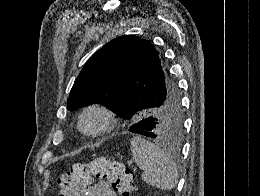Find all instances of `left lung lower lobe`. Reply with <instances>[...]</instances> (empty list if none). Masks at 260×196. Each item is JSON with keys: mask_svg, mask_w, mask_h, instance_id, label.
I'll return each mask as SVG.
<instances>
[{"mask_svg": "<svg viewBox=\"0 0 260 196\" xmlns=\"http://www.w3.org/2000/svg\"><path fill=\"white\" fill-rule=\"evenodd\" d=\"M132 113L133 111L123 112L121 116L124 119H127L132 115ZM117 114L119 115V113ZM154 129H155L154 120L147 118L131 125L129 131L140 135H144L146 137L154 138Z\"/></svg>", "mask_w": 260, "mask_h": 196, "instance_id": "left-lung-lower-lobe-1", "label": "left lung lower lobe"}]
</instances>
